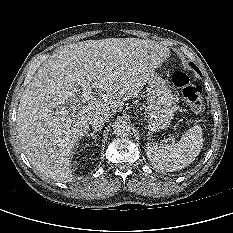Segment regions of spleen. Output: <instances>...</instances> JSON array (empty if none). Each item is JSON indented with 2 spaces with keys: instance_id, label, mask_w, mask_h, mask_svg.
<instances>
[{
  "instance_id": "spleen-1",
  "label": "spleen",
  "mask_w": 233,
  "mask_h": 233,
  "mask_svg": "<svg viewBox=\"0 0 233 233\" xmlns=\"http://www.w3.org/2000/svg\"><path fill=\"white\" fill-rule=\"evenodd\" d=\"M200 126L191 127L176 144L158 145L148 143L146 155L152 166L160 171L173 172L189 166L203 147Z\"/></svg>"
}]
</instances>
